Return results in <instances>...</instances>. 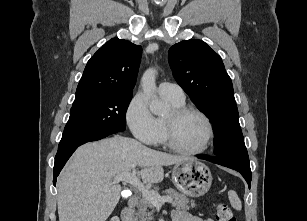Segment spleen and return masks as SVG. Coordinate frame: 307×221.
Here are the masks:
<instances>
[{"label": "spleen", "mask_w": 307, "mask_h": 221, "mask_svg": "<svg viewBox=\"0 0 307 221\" xmlns=\"http://www.w3.org/2000/svg\"><path fill=\"white\" fill-rule=\"evenodd\" d=\"M228 198L230 201L231 206L235 209L240 211L242 209L241 200L239 199L237 193L234 190H230L228 192Z\"/></svg>", "instance_id": "spleen-1"}]
</instances>
